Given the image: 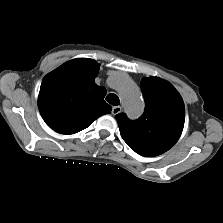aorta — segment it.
<instances>
[{"label":"aorta","mask_w":223,"mask_h":223,"mask_svg":"<svg viewBox=\"0 0 223 223\" xmlns=\"http://www.w3.org/2000/svg\"><path fill=\"white\" fill-rule=\"evenodd\" d=\"M114 83L120 92L123 105L130 118H138L144 111V101L138 86L125 74L116 73Z\"/></svg>","instance_id":"aorta-1"}]
</instances>
